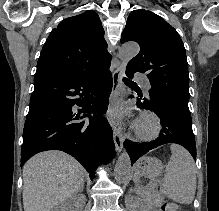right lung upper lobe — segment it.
Instances as JSON below:
<instances>
[{
    "label": "right lung upper lobe",
    "instance_id": "obj_1",
    "mask_svg": "<svg viewBox=\"0 0 219 211\" xmlns=\"http://www.w3.org/2000/svg\"><path fill=\"white\" fill-rule=\"evenodd\" d=\"M104 29L94 11L69 17L52 30L41 51L35 77L89 74L109 65Z\"/></svg>",
    "mask_w": 219,
    "mask_h": 211
}]
</instances>
